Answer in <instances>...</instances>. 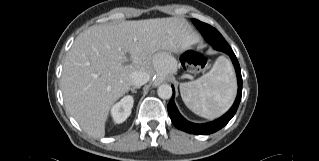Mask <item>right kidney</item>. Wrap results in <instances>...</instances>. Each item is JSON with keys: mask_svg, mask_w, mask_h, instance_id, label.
Returning a JSON list of instances; mask_svg holds the SVG:
<instances>
[{"mask_svg": "<svg viewBox=\"0 0 319 161\" xmlns=\"http://www.w3.org/2000/svg\"><path fill=\"white\" fill-rule=\"evenodd\" d=\"M134 99L132 96H125L111 108V115L115 123L124 122L131 114Z\"/></svg>", "mask_w": 319, "mask_h": 161, "instance_id": "ca27d5eb", "label": "right kidney"}]
</instances>
